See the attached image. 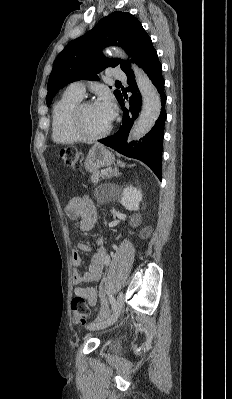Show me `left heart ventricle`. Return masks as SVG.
Returning a JSON list of instances; mask_svg holds the SVG:
<instances>
[{"instance_id":"left-heart-ventricle-1","label":"left heart ventricle","mask_w":232,"mask_h":399,"mask_svg":"<svg viewBox=\"0 0 232 399\" xmlns=\"http://www.w3.org/2000/svg\"><path fill=\"white\" fill-rule=\"evenodd\" d=\"M79 125L82 132L89 136L102 134L110 126L95 105L83 110L80 116Z\"/></svg>"}]
</instances>
